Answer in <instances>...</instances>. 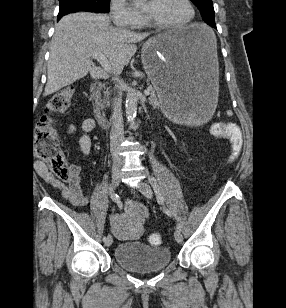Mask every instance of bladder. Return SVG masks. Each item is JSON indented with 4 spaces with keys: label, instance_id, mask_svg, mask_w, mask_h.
I'll list each match as a JSON object with an SVG mask.
<instances>
[{
    "label": "bladder",
    "instance_id": "obj_1",
    "mask_svg": "<svg viewBox=\"0 0 286 308\" xmlns=\"http://www.w3.org/2000/svg\"><path fill=\"white\" fill-rule=\"evenodd\" d=\"M114 261L123 268L147 273L164 269L171 261V251L164 246H147L141 241L119 243L113 250Z\"/></svg>",
    "mask_w": 286,
    "mask_h": 308
}]
</instances>
